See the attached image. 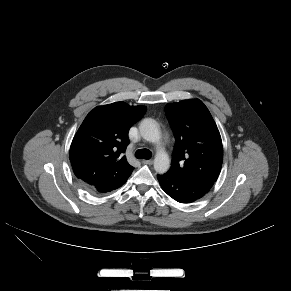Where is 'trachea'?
<instances>
[{"mask_svg": "<svg viewBox=\"0 0 291 291\" xmlns=\"http://www.w3.org/2000/svg\"><path fill=\"white\" fill-rule=\"evenodd\" d=\"M151 156H152V153L148 149H138L136 151V153H135V157L137 159H146V160H148V159L151 158Z\"/></svg>", "mask_w": 291, "mask_h": 291, "instance_id": "3493384b", "label": "trachea"}]
</instances>
